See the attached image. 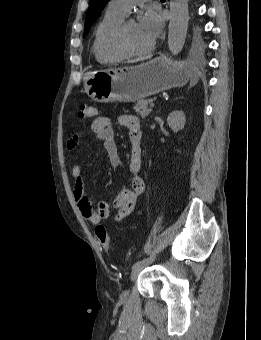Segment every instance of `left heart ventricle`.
<instances>
[{
	"instance_id": "obj_1",
	"label": "left heart ventricle",
	"mask_w": 261,
	"mask_h": 340,
	"mask_svg": "<svg viewBox=\"0 0 261 340\" xmlns=\"http://www.w3.org/2000/svg\"><path fill=\"white\" fill-rule=\"evenodd\" d=\"M126 41L128 47L135 51L143 50L152 44V41L140 31L135 21L129 23L127 27Z\"/></svg>"
}]
</instances>
